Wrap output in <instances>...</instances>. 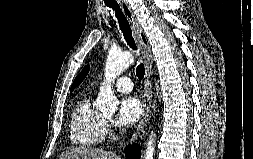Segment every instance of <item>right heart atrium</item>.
Wrapping results in <instances>:
<instances>
[{"label":"right heart atrium","instance_id":"1","mask_svg":"<svg viewBox=\"0 0 253 159\" xmlns=\"http://www.w3.org/2000/svg\"><path fill=\"white\" fill-rule=\"evenodd\" d=\"M106 131H107V132H110V131H111V124H110V123H107V124H106Z\"/></svg>","mask_w":253,"mask_h":159}]
</instances>
